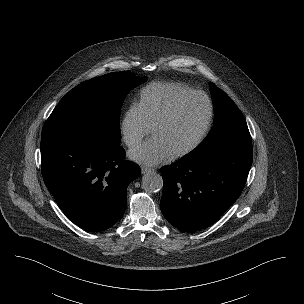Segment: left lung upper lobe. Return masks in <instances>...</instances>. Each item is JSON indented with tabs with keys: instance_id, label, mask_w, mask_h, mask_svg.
<instances>
[{
	"instance_id": "obj_1",
	"label": "left lung upper lobe",
	"mask_w": 304,
	"mask_h": 304,
	"mask_svg": "<svg viewBox=\"0 0 304 304\" xmlns=\"http://www.w3.org/2000/svg\"><path fill=\"white\" fill-rule=\"evenodd\" d=\"M214 105V125L205 140L187 156L196 158L230 144L251 145L247 123L235 103L213 83L209 84Z\"/></svg>"
}]
</instances>
